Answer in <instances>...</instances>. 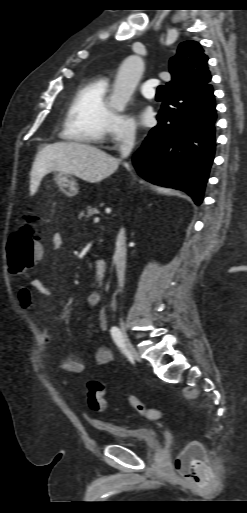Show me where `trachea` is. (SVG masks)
Masks as SVG:
<instances>
[{
    "label": "trachea",
    "mask_w": 247,
    "mask_h": 513,
    "mask_svg": "<svg viewBox=\"0 0 247 513\" xmlns=\"http://www.w3.org/2000/svg\"><path fill=\"white\" fill-rule=\"evenodd\" d=\"M164 90H165V86L164 85H160L157 89V94H160L162 95L164 93Z\"/></svg>",
    "instance_id": "trachea-1"
}]
</instances>
